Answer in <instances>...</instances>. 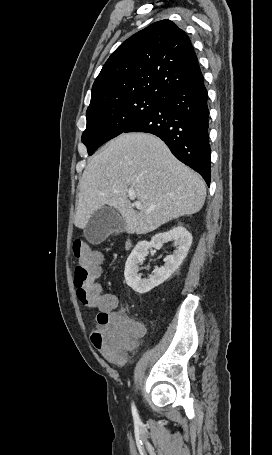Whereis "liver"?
Wrapping results in <instances>:
<instances>
[{
    "label": "liver",
    "mask_w": 272,
    "mask_h": 455,
    "mask_svg": "<svg viewBox=\"0 0 272 455\" xmlns=\"http://www.w3.org/2000/svg\"><path fill=\"white\" fill-rule=\"evenodd\" d=\"M134 191L143 208L128 198ZM206 187L165 143L147 133H123L94 155L79 181L75 226L84 229L101 207H114L129 234H146L201 210Z\"/></svg>",
    "instance_id": "1"
}]
</instances>
